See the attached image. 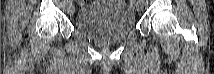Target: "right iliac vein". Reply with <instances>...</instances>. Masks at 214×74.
<instances>
[{
	"instance_id": "63e3f726",
	"label": "right iliac vein",
	"mask_w": 214,
	"mask_h": 74,
	"mask_svg": "<svg viewBox=\"0 0 214 74\" xmlns=\"http://www.w3.org/2000/svg\"><path fill=\"white\" fill-rule=\"evenodd\" d=\"M74 12H75V6L72 5V4H70V5L68 6V13H69L70 15H73Z\"/></svg>"
}]
</instances>
